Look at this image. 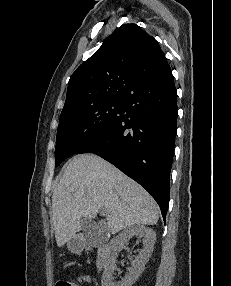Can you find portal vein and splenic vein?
<instances>
[{"mask_svg": "<svg viewBox=\"0 0 231 286\" xmlns=\"http://www.w3.org/2000/svg\"><path fill=\"white\" fill-rule=\"evenodd\" d=\"M100 213H101V215H106L107 211H106V209L102 208V209H100Z\"/></svg>", "mask_w": 231, "mask_h": 286, "instance_id": "1", "label": "portal vein and splenic vein"}]
</instances>
